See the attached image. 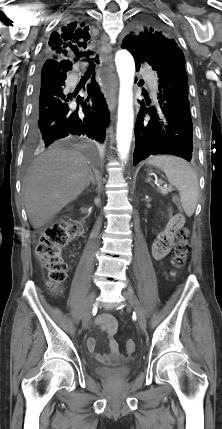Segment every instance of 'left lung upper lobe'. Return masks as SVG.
Returning a JSON list of instances; mask_svg holds the SVG:
<instances>
[{"label": "left lung upper lobe", "mask_w": 222, "mask_h": 429, "mask_svg": "<svg viewBox=\"0 0 222 429\" xmlns=\"http://www.w3.org/2000/svg\"><path fill=\"white\" fill-rule=\"evenodd\" d=\"M167 39L171 38L164 32L150 26L140 25L136 31L124 38L121 47L130 52L131 46L135 45L139 47L138 49H143L148 58L153 59L159 47L166 46Z\"/></svg>", "instance_id": "obj_1"}]
</instances>
